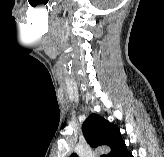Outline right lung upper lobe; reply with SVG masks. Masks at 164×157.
Here are the masks:
<instances>
[{"label": "right lung upper lobe", "instance_id": "right-lung-upper-lobe-1", "mask_svg": "<svg viewBox=\"0 0 164 157\" xmlns=\"http://www.w3.org/2000/svg\"><path fill=\"white\" fill-rule=\"evenodd\" d=\"M82 129L87 142L92 147L108 146L110 148L108 157H113L123 143L118 126L97 114L90 115L83 123ZM69 157L78 156L73 153Z\"/></svg>", "mask_w": 164, "mask_h": 157}]
</instances>
